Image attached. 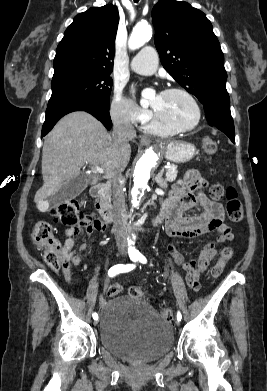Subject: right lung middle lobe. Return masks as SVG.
Here are the masks:
<instances>
[{"label":"right lung middle lobe","instance_id":"obj_1","mask_svg":"<svg viewBox=\"0 0 267 391\" xmlns=\"http://www.w3.org/2000/svg\"><path fill=\"white\" fill-rule=\"evenodd\" d=\"M112 83L108 72L72 71L53 76L48 106L76 99L109 107Z\"/></svg>","mask_w":267,"mask_h":391}]
</instances>
